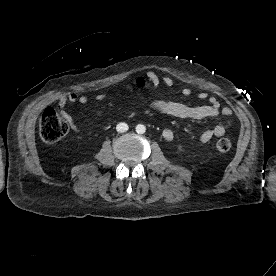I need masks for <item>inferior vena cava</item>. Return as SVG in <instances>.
<instances>
[{
  "mask_svg": "<svg viewBox=\"0 0 276 276\" xmlns=\"http://www.w3.org/2000/svg\"><path fill=\"white\" fill-rule=\"evenodd\" d=\"M128 129H129L128 125L124 122H121V123L117 124V126H116V130L119 133L126 132Z\"/></svg>",
  "mask_w": 276,
  "mask_h": 276,
  "instance_id": "602c4592",
  "label": "inferior vena cava"
}]
</instances>
